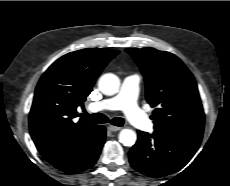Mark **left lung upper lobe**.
Masks as SVG:
<instances>
[{
  "label": "left lung upper lobe",
  "instance_id": "left-lung-upper-lobe-1",
  "mask_svg": "<svg viewBox=\"0 0 230 186\" xmlns=\"http://www.w3.org/2000/svg\"><path fill=\"white\" fill-rule=\"evenodd\" d=\"M146 83L147 102L155 107L156 132L201 141L204 111L195 79L174 54L154 48L126 49Z\"/></svg>",
  "mask_w": 230,
  "mask_h": 186
}]
</instances>
